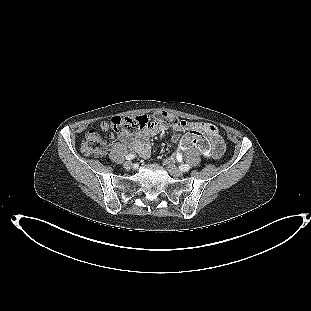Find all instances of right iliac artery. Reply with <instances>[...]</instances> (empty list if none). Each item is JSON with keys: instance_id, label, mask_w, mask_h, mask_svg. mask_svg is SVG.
Masks as SVG:
<instances>
[{"instance_id": "82829eb1", "label": "right iliac artery", "mask_w": 311, "mask_h": 311, "mask_svg": "<svg viewBox=\"0 0 311 311\" xmlns=\"http://www.w3.org/2000/svg\"><path fill=\"white\" fill-rule=\"evenodd\" d=\"M134 157H135V156H134L133 154H128V155L126 156V159H127V160H132Z\"/></svg>"}]
</instances>
